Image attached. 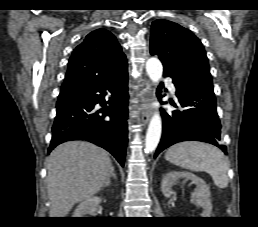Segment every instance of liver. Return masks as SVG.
Segmentation results:
<instances>
[{"instance_id":"obj_1","label":"liver","mask_w":258,"mask_h":227,"mask_svg":"<svg viewBox=\"0 0 258 227\" xmlns=\"http://www.w3.org/2000/svg\"><path fill=\"white\" fill-rule=\"evenodd\" d=\"M50 217H65L73 206L99 192L111 176L108 153L91 143L70 141L47 159Z\"/></svg>"}]
</instances>
